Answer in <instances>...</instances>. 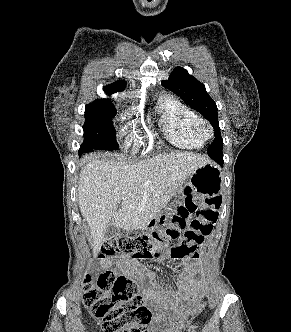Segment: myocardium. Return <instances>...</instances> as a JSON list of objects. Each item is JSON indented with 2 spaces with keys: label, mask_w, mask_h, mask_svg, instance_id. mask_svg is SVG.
Here are the masks:
<instances>
[{
  "label": "myocardium",
  "mask_w": 291,
  "mask_h": 332,
  "mask_svg": "<svg viewBox=\"0 0 291 332\" xmlns=\"http://www.w3.org/2000/svg\"><path fill=\"white\" fill-rule=\"evenodd\" d=\"M197 132L204 141L211 139L214 135L212 126L205 120L199 122Z\"/></svg>",
  "instance_id": "obj_1"
}]
</instances>
